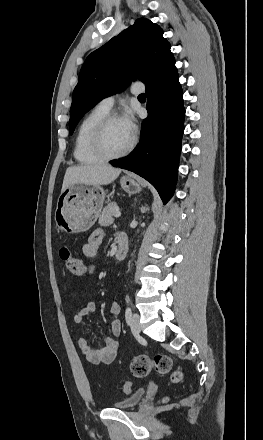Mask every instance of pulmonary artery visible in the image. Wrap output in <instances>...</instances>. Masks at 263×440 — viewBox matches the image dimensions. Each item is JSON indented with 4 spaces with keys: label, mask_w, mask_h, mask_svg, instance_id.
Listing matches in <instances>:
<instances>
[{
    "label": "pulmonary artery",
    "mask_w": 263,
    "mask_h": 440,
    "mask_svg": "<svg viewBox=\"0 0 263 440\" xmlns=\"http://www.w3.org/2000/svg\"><path fill=\"white\" fill-rule=\"evenodd\" d=\"M143 90L144 89L142 87H139L137 84H133L131 87V92L133 94H140L143 92ZM113 104H114V97L110 96V97H106V98L102 99L99 102L98 106H100L101 108H103L107 111H110L113 107Z\"/></svg>",
    "instance_id": "1"
}]
</instances>
